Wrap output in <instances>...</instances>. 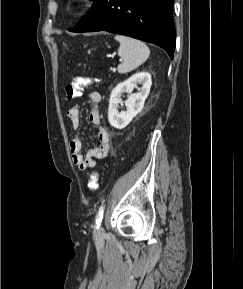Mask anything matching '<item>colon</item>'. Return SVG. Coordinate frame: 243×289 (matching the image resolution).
<instances>
[{"instance_id":"5ec220e1","label":"colon","mask_w":243,"mask_h":289,"mask_svg":"<svg viewBox=\"0 0 243 289\" xmlns=\"http://www.w3.org/2000/svg\"><path fill=\"white\" fill-rule=\"evenodd\" d=\"M91 80L85 77H75L71 83L65 87V99L71 101L82 94L83 88L91 84ZM99 175L93 172L88 180V188L94 191L98 188Z\"/></svg>"}]
</instances>
